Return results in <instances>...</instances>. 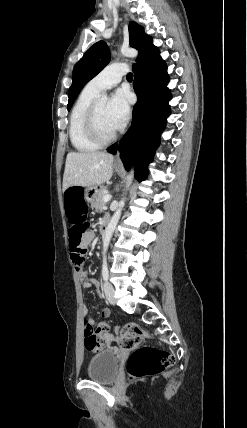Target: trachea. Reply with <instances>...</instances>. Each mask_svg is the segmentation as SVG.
<instances>
[{
	"mask_svg": "<svg viewBox=\"0 0 247 428\" xmlns=\"http://www.w3.org/2000/svg\"><path fill=\"white\" fill-rule=\"evenodd\" d=\"M127 79L128 80H132L133 79V74L132 73H128L127 74Z\"/></svg>",
	"mask_w": 247,
	"mask_h": 428,
	"instance_id": "trachea-1",
	"label": "trachea"
}]
</instances>
